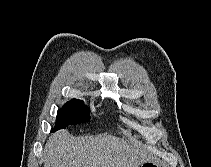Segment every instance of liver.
I'll return each instance as SVG.
<instances>
[{"label": "liver", "mask_w": 211, "mask_h": 167, "mask_svg": "<svg viewBox=\"0 0 211 167\" xmlns=\"http://www.w3.org/2000/svg\"><path fill=\"white\" fill-rule=\"evenodd\" d=\"M147 155L110 135L89 140L68 131L53 134L44 148L45 167H138Z\"/></svg>", "instance_id": "1"}]
</instances>
